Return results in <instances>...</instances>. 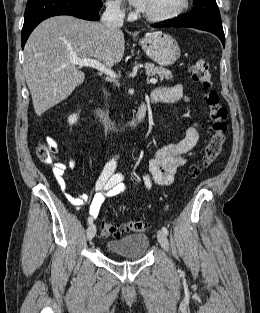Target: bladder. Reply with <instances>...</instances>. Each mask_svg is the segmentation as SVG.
Returning a JSON list of instances; mask_svg holds the SVG:
<instances>
[{
	"label": "bladder",
	"mask_w": 260,
	"mask_h": 313,
	"mask_svg": "<svg viewBox=\"0 0 260 313\" xmlns=\"http://www.w3.org/2000/svg\"><path fill=\"white\" fill-rule=\"evenodd\" d=\"M150 241L146 234L138 233L112 239L106 249L111 254L121 255L128 260H139L146 256Z\"/></svg>",
	"instance_id": "31cf9c89"
}]
</instances>
